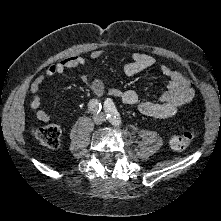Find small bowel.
Masks as SVG:
<instances>
[{"label": "small bowel", "instance_id": "obj_1", "mask_svg": "<svg viewBox=\"0 0 221 221\" xmlns=\"http://www.w3.org/2000/svg\"><path fill=\"white\" fill-rule=\"evenodd\" d=\"M103 51L96 50L90 55L92 59L102 57ZM85 64V58L81 55H73L67 57L56 64L47 67L31 84L30 92L32 99L30 107L35 110L36 117L43 121L49 122L51 116L41 109V98L39 90L43 82L57 74H62L67 70L80 67ZM155 65V59L144 53H134L132 60L124 64L122 70L127 76H134L138 73L151 68ZM161 73L168 78L166 90L160 96L158 101L142 100L133 90H119L116 88H107L100 78L90 79L87 75L82 76V81L89 87L92 93L102 98L106 95L114 96L127 105L134 106L144 115L167 118L175 115L177 111L185 104L189 103L195 95V90L190 80L182 72L172 67L162 64L160 66Z\"/></svg>", "mask_w": 221, "mask_h": 221}]
</instances>
